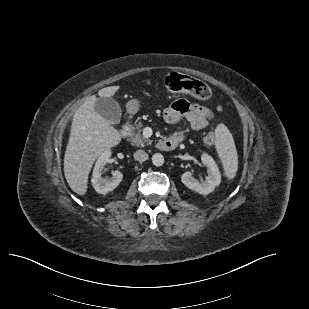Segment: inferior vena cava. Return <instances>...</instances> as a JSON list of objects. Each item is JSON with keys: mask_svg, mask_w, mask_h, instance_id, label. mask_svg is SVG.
I'll return each mask as SVG.
<instances>
[{"mask_svg": "<svg viewBox=\"0 0 309 309\" xmlns=\"http://www.w3.org/2000/svg\"><path fill=\"white\" fill-rule=\"evenodd\" d=\"M134 158L139 162H144L148 159V154L143 150H137L134 153Z\"/></svg>", "mask_w": 309, "mask_h": 309, "instance_id": "inferior-vena-cava-1", "label": "inferior vena cava"}]
</instances>
